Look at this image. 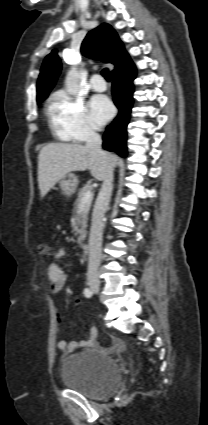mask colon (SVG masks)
Wrapping results in <instances>:
<instances>
[{"instance_id": "5ec220e1", "label": "colon", "mask_w": 208, "mask_h": 425, "mask_svg": "<svg viewBox=\"0 0 208 425\" xmlns=\"http://www.w3.org/2000/svg\"><path fill=\"white\" fill-rule=\"evenodd\" d=\"M38 249H39V252L44 256H49L53 253L52 247H50L47 244H40Z\"/></svg>"}]
</instances>
